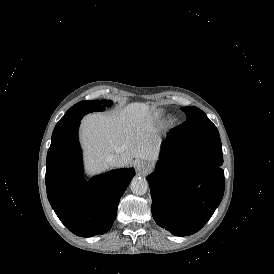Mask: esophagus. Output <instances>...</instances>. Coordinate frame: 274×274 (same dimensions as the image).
I'll list each match as a JSON object with an SVG mask.
<instances>
[{"label":"esophagus","instance_id":"34e87169","mask_svg":"<svg viewBox=\"0 0 274 274\" xmlns=\"http://www.w3.org/2000/svg\"><path fill=\"white\" fill-rule=\"evenodd\" d=\"M136 168L140 173L149 172L150 170V164L143 160H137L136 161Z\"/></svg>","mask_w":274,"mask_h":274}]
</instances>
